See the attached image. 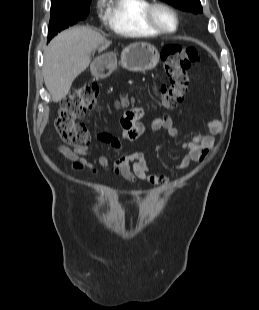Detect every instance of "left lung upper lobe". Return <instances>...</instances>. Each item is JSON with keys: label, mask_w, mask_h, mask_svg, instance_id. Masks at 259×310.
Listing matches in <instances>:
<instances>
[{"label": "left lung upper lobe", "mask_w": 259, "mask_h": 310, "mask_svg": "<svg viewBox=\"0 0 259 310\" xmlns=\"http://www.w3.org/2000/svg\"><path fill=\"white\" fill-rule=\"evenodd\" d=\"M183 11H191L193 13H201L202 6L200 0H162Z\"/></svg>", "instance_id": "obj_1"}]
</instances>
